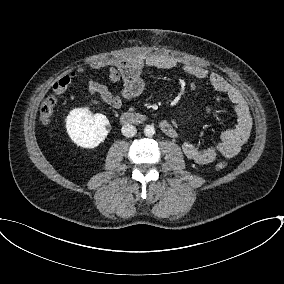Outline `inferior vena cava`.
I'll list each match as a JSON object with an SVG mask.
<instances>
[{
  "label": "inferior vena cava",
  "instance_id": "inferior-vena-cava-1",
  "mask_svg": "<svg viewBox=\"0 0 284 284\" xmlns=\"http://www.w3.org/2000/svg\"><path fill=\"white\" fill-rule=\"evenodd\" d=\"M122 134L126 137H133L136 135V127L130 124L124 125L121 129Z\"/></svg>",
  "mask_w": 284,
  "mask_h": 284
}]
</instances>
